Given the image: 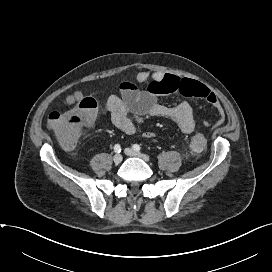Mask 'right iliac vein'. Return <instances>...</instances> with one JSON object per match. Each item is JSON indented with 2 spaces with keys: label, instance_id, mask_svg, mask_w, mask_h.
<instances>
[{
  "label": "right iliac vein",
  "instance_id": "1",
  "mask_svg": "<svg viewBox=\"0 0 272 272\" xmlns=\"http://www.w3.org/2000/svg\"><path fill=\"white\" fill-rule=\"evenodd\" d=\"M122 159H123V157L121 154H115L113 157V161L115 164L121 163Z\"/></svg>",
  "mask_w": 272,
  "mask_h": 272
}]
</instances>
